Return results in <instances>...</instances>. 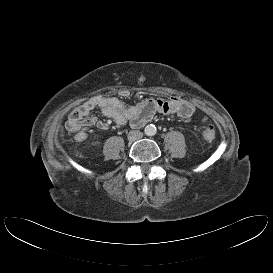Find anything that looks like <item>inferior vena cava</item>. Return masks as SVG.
I'll return each mask as SVG.
<instances>
[{
  "label": "inferior vena cava",
  "instance_id": "1",
  "mask_svg": "<svg viewBox=\"0 0 273 273\" xmlns=\"http://www.w3.org/2000/svg\"><path fill=\"white\" fill-rule=\"evenodd\" d=\"M143 137V133L138 131V130H133V131H130L129 134H128V139L130 141H135V140H139Z\"/></svg>",
  "mask_w": 273,
  "mask_h": 273
}]
</instances>
